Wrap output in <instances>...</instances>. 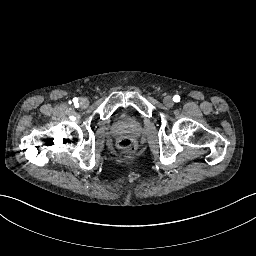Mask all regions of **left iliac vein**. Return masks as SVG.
<instances>
[{"mask_svg": "<svg viewBox=\"0 0 256 256\" xmlns=\"http://www.w3.org/2000/svg\"><path fill=\"white\" fill-rule=\"evenodd\" d=\"M163 103L167 106V107H172L174 105V102H173V99L171 96H166L164 99H163Z\"/></svg>", "mask_w": 256, "mask_h": 256, "instance_id": "4c4485c4", "label": "left iliac vein"}]
</instances>
